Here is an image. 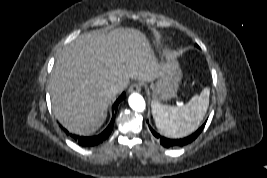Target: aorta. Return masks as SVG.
Listing matches in <instances>:
<instances>
[{"instance_id": "1", "label": "aorta", "mask_w": 267, "mask_h": 178, "mask_svg": "<svg viewBox=\"0 0 267 178\" xmlns=\"http://www.w3.org/2000/svg\"><path fill=\"white\" fill-rule=\"evenodd\" d=\"M129 106L138 112H142L145 110L146 103L144 98L138 93H132L128 98Z\"/></svg>"}]
</instances>
